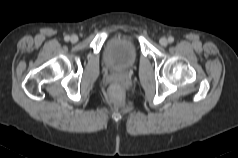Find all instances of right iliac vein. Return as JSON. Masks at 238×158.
<instances>
[{
  "instance_id": "obj_1",
  "label": "right iliac vein",
  "mask_w": 238,
  "mask_h": 158,
  "mask_svg": "<svg viewBox=\"0 0 238 158\" xmlns=\"http://www.w3.org/2000/svg\"><path fill=\"white\" fill-rule=\"evenodd\" d=\"M70 41L75 43L78 41V36L77 35H72L71 38H70Z\"/></svg>"
}]
</instances>
